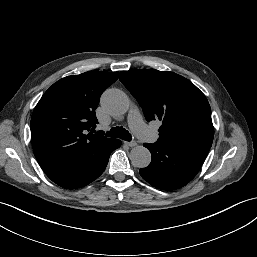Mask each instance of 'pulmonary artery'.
<instances>
[{
    "mask_svg": "<svg viewBox=\"0 0 257 257\" xmlns=\"http://www.w3.org/2000/svg\"><path fill=\"white\" fill-rule=\"evenodd\" d=\"M128 123L132 130L138 135L151 136L153 133L146 126L142 115L137 107H133L128 113Z\"/></svg>",
    "mask_w": 257,
    "mask_h": 257,
    "instance_id": "obj_1",
    "label": "pulmonary artery"
}]
</instances>
